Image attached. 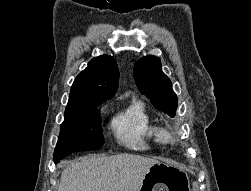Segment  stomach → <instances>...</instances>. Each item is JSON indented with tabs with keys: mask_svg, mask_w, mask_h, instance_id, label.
I'll return each mask as SVG.
<instances>
[{
	"mask_svg": "<svg viewBox=\"0 0 251 191\" xmlns=\"http://www.w3.org/2000/svg\"><path fill=\"white\" fill-rule=\"evenodd\" d=\"M139 191H190L189 177L176 165L158 161L146 173Z\"/></svg>",
	"mask_w": 251,
	"mask_h": 191,
	"instance_id": "0dacf381",
	"label": "stomach"
}]
</instances>
